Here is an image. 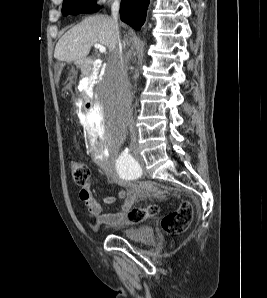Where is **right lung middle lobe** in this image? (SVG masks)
<instances>
[{
  "label": "right lung middle lobe",
  "instance_id": "obj_1",
  "mask_svg": "<svg viewBox=\"0 0 267 298\" xmlns=\"http://www.w3.org/2000/svg\"><path fill=\"white\" fill-rule=\"evenodd\" d=\"M100 9L96 5V0H64L62 13L64 16L69 14L77 15L84 13H94Z\"/></svg>",
  "mask_w": 267,
  "mask_h": 298
}]
</instances>
